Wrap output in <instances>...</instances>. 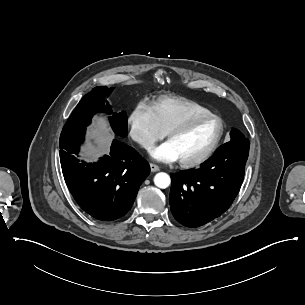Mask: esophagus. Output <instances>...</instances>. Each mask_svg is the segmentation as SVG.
<instances>
[{
	"label": "esophagus",
	"instance_id": "esophagus-1",
	"mask_svg": "<svg viewBox=\"0 0 305 305\" xmlns=\"http://www.w3.org/2000/svg\"><path fill=\"white\" fill-rule=\"evenodd\" d=\"M151 172L159 171V167L156 164L150 163Z\"/></svg>",
	"mask_w": 305,
	"mask_h": 305
}]
</instances>
